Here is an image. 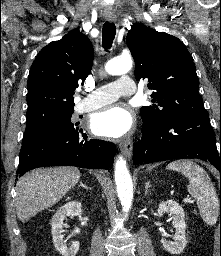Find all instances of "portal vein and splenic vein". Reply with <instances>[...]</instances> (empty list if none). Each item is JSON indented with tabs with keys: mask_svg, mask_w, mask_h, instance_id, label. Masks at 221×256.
<instances>
[{
	"mask_svg": "<svg viewBox=\"0 0 221 256\" xmlns=\"http://www.w3.org/2000/svg\"><path fill=\"white\" fill-rule=\"evenodd\" d=\"M184 201L192 202V199H191V197L187 196V197L184 199Z\"/></svg>",
	"mask_w": 221,
	"mask_h": 256,
	"instance_id": "obj_1",
	"label": "portal vein and splenic vein"
}]
</instances>
